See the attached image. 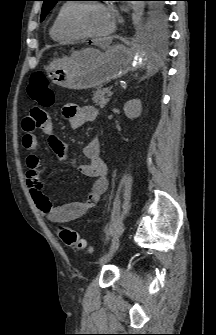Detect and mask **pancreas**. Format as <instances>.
<instances>
[{
  "label": "pancreas",
  "mask_w": 216,
  "mask_h": 335,
  "mask_svg": "<svg viewBox=\"0 0 216 335\" xmlns=\"http://www.w3.org/2000/svg\"><path fill=\"white\" fill-rule=\"evenodd\" d=\"M109 91V88H104L102 90L98 89L94 92L92 100L96 106L100 107L101 109L105 107V105L109 102V98L106 97Z\"/></svg>",
  "instance_id": "cf45deb5"
}]
</instances>
